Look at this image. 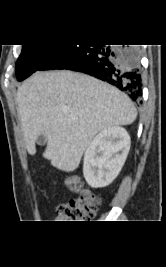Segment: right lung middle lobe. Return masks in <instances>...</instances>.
<instances>
[{
  "instance_id": "right-lung-middle-lobe-1",
  "label": "right lung middle lobe",
  "mask_w": 166,
  "mask_h": 267,
  "mask_svg": "<svg viewBox=\"0 0 166 267\" xmlns=\"http://www.w3.org/2000/svg\"><path fill=\"white\" fill-rule=\"evenodd\" d=\"M16 63V77L22 81L37 71L60 47L57 44L22 45Z\"/></svg>"
}]
</instances>
